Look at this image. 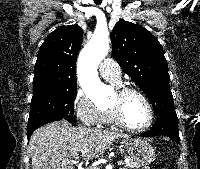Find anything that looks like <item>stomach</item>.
I'll use <instances>...</instances> for the list:
<instances>
[{
    "label": "stomach",
    "mask_w": 200,
    "mask_h": 169,
    "mask_svg": "<svg viewBox=\"0 0 200 169\" xmlns=\"http://www.w3.org/2000/svg\"><path fill=\"white\" fill-rule=\"evenodd\" d=\"M130 159L137 166L149 165L155 160L156 153L154 148L145 140L126 138L122 141Z\"/></svg>",
    "instance_id": "stomach-1"
}]
</instances>
